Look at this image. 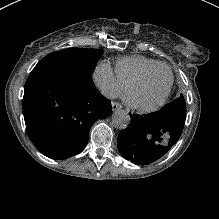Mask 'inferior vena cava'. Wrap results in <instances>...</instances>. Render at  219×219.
<instances>
[{
	"instance_id": "1",
	"label": "inferior vena cava",
	"mask_w": 219,
	"mask_h": 219,
	"mask_svg": "<svg viewBox=\"0 0 219 219\" xmlns=\"http://www.w3.org/2000/svg\"><path fill=\"white\" fill-rule=\"evenodd\" d=\"M100 92L102 93L103 96L109 99H114L118 96L116 92H114L111 88L107 86H100L99 87Z\"/></svg>"
}]
</instances>
